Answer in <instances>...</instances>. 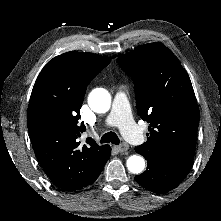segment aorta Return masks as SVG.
I'll use <instances>...</instances> for the list:
<instances>
[{
    "label": "aorta",
    "mask_w": 221,
    "mask_h": 221,
    "mask_svg": "<svg viewBox=\"0 0 221 221\" xmlns=\"http://www.w3.org/2000/svg\"><path fill=\"white\" fill-rule=\"evenodd\" d=\"M89 107L96 113H106L111 106V97L103 88L94 89L88 97ZM127 168L133 174H140L145 168V160L142 156L132 155L127 159Z\"/></svg>",
    "instance_id": "obj_1"
}]
</instances>
